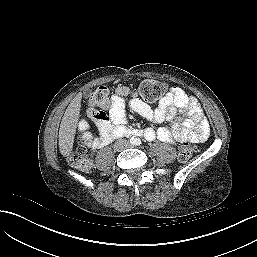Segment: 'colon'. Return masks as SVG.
I'll list each match as a JSON object with an SVG mask.
<instances>
[{
  "label": "colon",
  "mask_w": 257,
  "mask_h": 257,
  "mask_svg": "<svg viewBox=\"0 0 257 257\" xmlns=\"http://www.w3.org/2000/svg\"><path fill=\"white\" fill-rule=\"evenodd\" d=\"M138 93L140 97L147 102H155L159 100L164 92L165 86L158 81L146 80L142 81L138 86ZM111 89L108 86L98 87L89 98V110L88 114L92 121L97 122L104 115L103 112H99L97 109L106 108L110 104ZM196 146L190 143H185L179 152V158L182 161L190 159ZM69 163L72 167L80 170H88L91 167V158L85 148L75 149L69 156Z\"/></svg>",
  "instance_id": "obj_1"
}]
</instances>
